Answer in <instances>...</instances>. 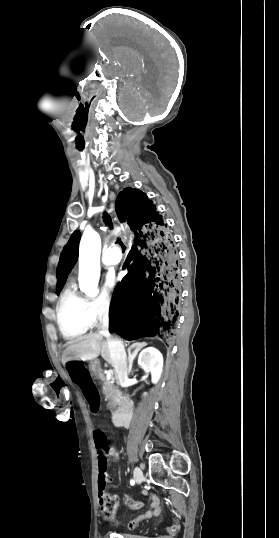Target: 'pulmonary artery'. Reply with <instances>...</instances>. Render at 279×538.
<instances>
[{
	"mask_svg": "<svg viewBox=\"0 0 279 538\" xmlns=\"http://www.w3.org/2000/svg\"><path fill=\"white\" fill-rule=\"evenodd\" d=\"M120 261L119 256L111 255L109 251H105L102 257V265L105 269L110 270L114 268Z\"/></svg>",
	"mask_w": 279,
	"mask_h": 538,
	"instance_id": "1",
	"label": "pulmonary artery"
}]
</instances>
